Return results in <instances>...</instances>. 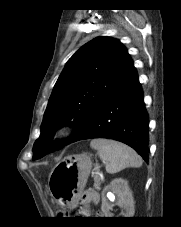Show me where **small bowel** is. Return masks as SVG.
<instances>
[{
    "instance_id": "obj_1",
    "label": "small bowel",
    "mask_w": 181,
    "mask_h": 227,
    "mask_svg": "<svg viewBox=\"0 0 181 227\" xmlns=\"http://www.w3.org/2000/svg\"><path fill=\"white\" fill-rule=\"evenodd\" d=\"M100 201V194L95 190H87L82 195L83 209L81 210V215L85 217L92 216L91 210L89 208L90 204H97ZM101 213H96V216H100Z\"/></svg>"
}]
</instances>
